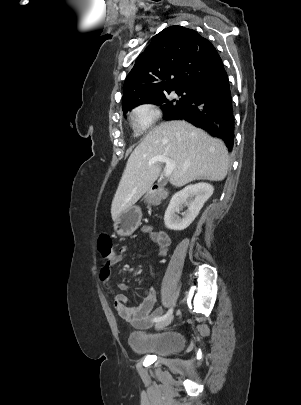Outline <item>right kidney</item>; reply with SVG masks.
I'll return each instance as SVG.
<instances>
[{"label":"right kidney","mask_w":301,"mask_h":405,"mask_svg":"<svg viewBox=\"0 0 301 405\" xmlns=\"http://www.w3.org/2000/svg\"><path fill=\"white\" fill-rule=\"evenodd\" d=\"M212 185L200 182L189 185L183 190L174 194L164 215L165 226L170 230L181 231L186 229L197 217L204 203L213 194ZM187 205V210L182 213L180 219L175 213H179L182 205Z\"/></svg>","instance_id":"right-kidney-1"}]
</instances>
